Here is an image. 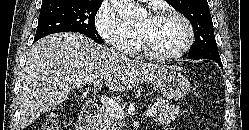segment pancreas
<instances>
[{"label":"pancreas","mask_w":249,"mask_h":130,"mask_svg":"<svg viewBox=\"0 0 249 130\" xmlns=\"http://www.w3.org/2000/svg\"><path fill=\"white\" fill-rule=\"evenodd\" d=\"M154 109L153 116L161 124H169L177 116L182 115L179 106H174L163 98H157V104L151 106ZM122 126L121 119L116 115L109 113L106 109L102 111V122L100 130H119Z\"/></svg>","instance_id":"1"}]
</instances>
